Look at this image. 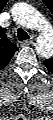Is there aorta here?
I'll return each instance as SVG.
<instances>
[{"instance_id":"aorta-1","label":"aorta","mask_w":53,"mask_h":120,"mask_svg":"<svg viewBox=\"0 0 53 120\" xmlns=\"http://www.w3.org/2000/svg\"><path fill=\"white\" fill-rule=\"evenodd\" d=\"M15 10L16 13L21 17L23 24L29 28L42 29L46 25V21L43 19L42 15L33 7H16ZM49 36V34L43 33L37 41L36 50L38 53L43 54V47H50V44L48 43L50 41Z\"/></svg>"}]
</instances>
